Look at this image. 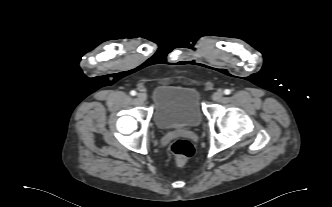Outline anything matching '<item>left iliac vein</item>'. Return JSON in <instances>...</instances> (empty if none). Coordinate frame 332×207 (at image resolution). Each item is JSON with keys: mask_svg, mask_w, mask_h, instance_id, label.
<instances>
[{"mask_svg": "<svg viewBox=\"0 0 332 207\" xmlns=\"http://www.w3.org/2000/svg\"><path fill=\"white\" fill-rule=\"evenodd\" d=\"M222 97H223V92L221 90H218V91L214 92L213 95H212V99L214 101H219V100L222 99Z\"/></svg>", "mask_w": 332, "mask_h": 207, "instance_id": "1", "label": "left iliac vein"}]
</instances>
